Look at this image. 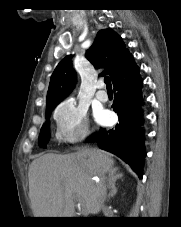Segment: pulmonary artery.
Here are the masks:
<instances>
[{
	"instance_id": "e3ab8cb5",
	"label": "pulmonary artery",
	"mask_w": 181,
	"mask_h": 227,
	"mask_svg": "<svg viewBox=\"0 0 181 227\" xmlns=\"http://www.w3.org/2000/svg\"><path fill=\"white\" fill-rule=\"evenodd\" d=\"M98 91L96 92V98L101 101V102H106L108 100V94L107 92L103 89L104 87V82L99 81L97 84Z\"/></svg>"
}]
</instances>
